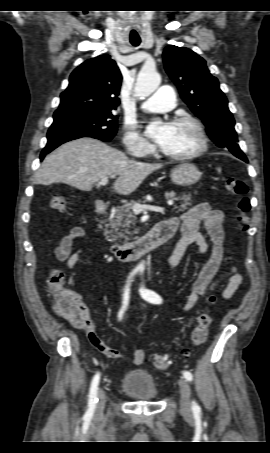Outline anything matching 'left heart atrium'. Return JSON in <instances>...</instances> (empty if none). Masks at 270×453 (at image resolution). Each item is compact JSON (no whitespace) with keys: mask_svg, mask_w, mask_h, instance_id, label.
Wrapping results in <instances>:
<instances>
[{"mask_svg":"<svg viewBox=\"0 0 270 453\" xmlns=\"http://www.w3.org/2000/svg\"><path fill=\"white\" fill-rule=\"evenodd\" d=\"M147 135L160 147H163L171 135V124H164L160 127L150 128L147 130Z\"/></svg>","mask_w":270,"mask_h":453,"instance_id":"1","label":"left heart atrium"}]
</instances>
